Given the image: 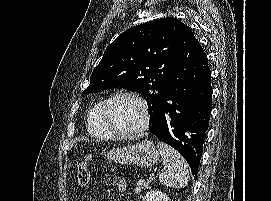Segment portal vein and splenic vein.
I'll return each instance as SVG.
<instances>
[{
  "label": "portal vein and splenic vein",
  "instance_id": "portal-vein-and-splenic-vein-1",
  "mask_svg": "<svg viewBox=\"0 0 271 201\" xmlns=\"http://www.w3.org/2000/svg\"><path fill=\"white\" fill-rule=\"evenodd\" d=\"M153 180V175H150L149 178H148V181H152Z\"/></svg>",
  "mask_w": 271,
  "mask_h": 201
}]
</instances>
